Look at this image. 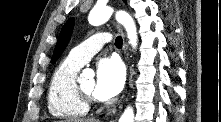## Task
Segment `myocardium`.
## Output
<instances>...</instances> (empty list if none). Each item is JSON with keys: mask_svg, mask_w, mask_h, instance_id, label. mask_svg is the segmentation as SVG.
<instances>
[{"mask_svg": "<svg viewBox=\"0 0 221 122\" xmlns=\"http://www.w3.org/2000/svg\"><path fill=\"white\" fill-rule=\"evenodd\" d=\"M77 94L80 99L89 107L94 106L98 103L94 95L87 93L81 86V84L76 83Z\"/></svg>", "mask_w": 221, "mask_h": 122, "instance_id": "1", "label": "myocardium"}]
</instances>
